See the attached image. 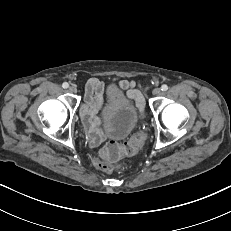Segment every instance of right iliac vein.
Returning a JSON list of instances; mask_svg holds the SVG:
<instances>
[{
    "instance_id": "obj_1",
    "label": "right iliac vein",
    "mask_w": 231,
    "mask_h": 231,
    "mask_svg": "<svg viewBox=\"0 0 231 231\" xmlns=\"http://www.w3.org/2000/svg\"><path fill=\"white\" fill-rule=\"evenodd\" d=\"M69 92H71V93H76V92H77L76 86H75V85H71V86L69 87Z\"/></svg>"
}]
</instances>
